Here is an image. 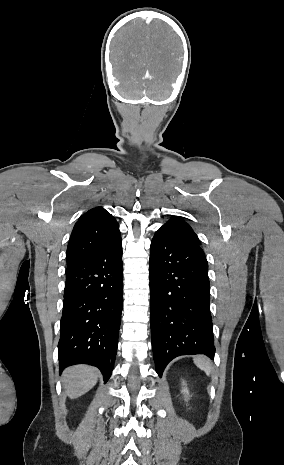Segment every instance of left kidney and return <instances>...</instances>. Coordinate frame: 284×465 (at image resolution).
Segmentation results:
<instances>
[{"label":"left kidney","instance_id":"obj_1","mask_svg":"<svg viewBox=\"0 0 284 465\" xmlns=\"http://www.w3.org/2000/svg\"><path fill=\"white\" fill-rule=\"evenodd\" d=\"M182 393H188L187 389H184V391H182Z\"/></svg>","mask_w":284,"mask_h":465}]
</instances>
